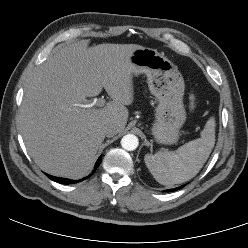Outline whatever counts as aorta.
<instances>
[{
    "label": "aorta",
    "mask_w": 248,
    "mask_h": 248,
    "mask_svg": "<svg viewBox=\"0 0 248 248\" xmlns=\"http://www.w3.org/2000/svg\"><path fill=\"white\" fill-rule=\"evenodd\" d=\"M138 144V138L133 134H127L121 139V146L127 151L135 150Z\"/></svg>",
    "instance_id": "aorta-1"
}]
</instances>
